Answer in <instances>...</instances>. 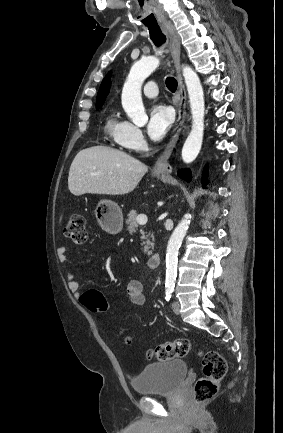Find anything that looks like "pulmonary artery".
I'll return each mask as SVG.
<instances>
[{
  "label": "pulmonary artery",
  "instance_id": "obj_1",
  "mask_svg": "<svg viewBox=\"0 0 283 433\" xmlns=\"http://www.w3.org/2000/svg\"><path fill=\"white\" fill-rule=\"evenodd\" d=\"M143 93L149 98H154L159 94V91L155 88V82L150 80L143 86Z\"/></svg>",
  "mask_w": 283,
  "mask_h": 433
}]
</instances>
